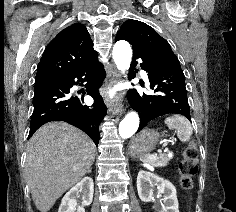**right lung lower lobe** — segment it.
Masks as SVG:
<instances>
[{
  "label": "right lung lower lobe",
  "mask_w": 236,
  "mask_h": 212,
  "mask_svg": "<svg viewBox=\"0 0 236 212\" xmlns=\"http://www.w3.org/2000/svg\"><path fill=\"white\" fill-rule=\"evenodd\" d=\"M105 77L103 64L95 59L71 75L35 79L34 111L28 138L47 122L65 121L83 130L98 145L99 125L106 114L98 89ZM84 82L87 94L94 98L92 106L83 105V98L70 94L72 86Z\"/></svg>",
  "instance_id": "right-lung-lower-lobe-1"
}]
</instances>
